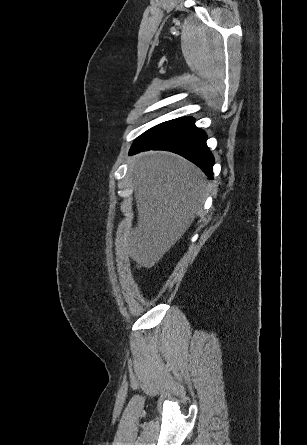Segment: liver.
Segmentation results:
<instances>
[{
	"instance_id": "1",
	"label": "liver",
	"mask_w": 307,
	"mask_h": 445,
	"mask_svg": "<svg viewBox=\"0 0 307 445\" xmlns=\"http://www.w3.org/2000/svg\"><path fill=\"white\" fill-rule=\"evenodd\" d=\"M137 227H119L118 245L151 269L181 239L208 194L204 172L178 154L152 152L132 162Z\"/></svg>"
}]
</instances>
